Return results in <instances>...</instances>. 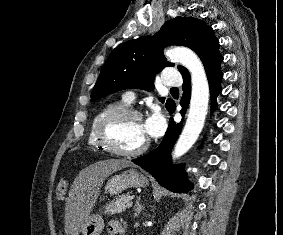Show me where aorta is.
<instances>
[{
	"instance_id": "1",
	"label": "aorta",
	"mask_w": 283,
	"mask_h": 235,
	"mask_svg": "<svg viewBox=\"0 0 283 235\" xmlns=\"http://www.w3.org/2000/svg\"><path fill=\"white\" fill-rule=\"evenodd\" d=\"M167 56L186 67L191 75V100L186 124L175 144L174 159L183 156L198 139L205 122L209 103V84L203 64L190 49L174 47L167 51Z\"/></svg>"
}]
</instances>
